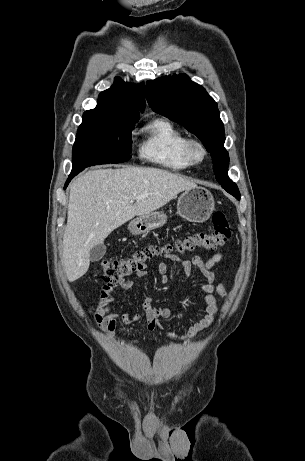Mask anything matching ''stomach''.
Here are the masks:
<instances>
[{
  "instance_id": "1",
  "label": "stomach",
  "mask_w": 305,
  "mask_h": 461,
  "mask_svg": "<svg viewBox=\"0 0 305 461\" xmlns=\"http://www.w3.org/2000/svg\"><path fill=\"white\" fill-rule=\"evenodd\" d=\"M215 202L211 192L203 187L185 190L178 198L177 214L195 223L208 220L214 211ZM167 221L164 212H151L133 219L128 229L133 235H140L162 227Z\"/></svg>"
}]
</instances>
